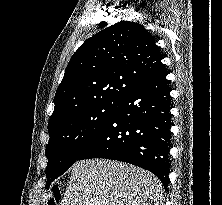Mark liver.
<instances>
[{"instance_id": "liver-1", "label": "liver", "mask_w": 222, "mask_h": 205, "mask_svg": "<svg viewBox=\"0 0 222 205\" xmlns=\"http://www.w3.org/2000/svg\"><path fill=\"white\" fill-rule=\"evenodd\" d=\"M163 192L156 176L136 166L81 160L71 168L61 205H163Z\"/></svg>"}]
</instances>
